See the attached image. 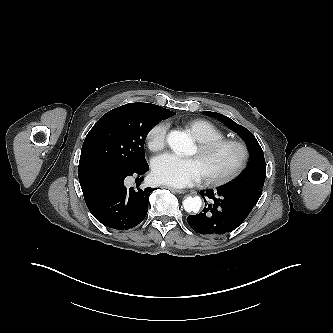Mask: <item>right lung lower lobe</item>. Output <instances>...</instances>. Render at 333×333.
I'll use <instances>...</instances> for the list:
<instances>
[{"mask_svg": "<svg viewBox=\"0 0 333 333\" xmlns=\"http://www.w3.org/2000/svg\"><path fill=\"white\" fill-rule=\"evenodd\" d=\"M148 170L147 163L137 170L109 164L79 167V182L89 211L109 228L128 230L137 226L147 214L149 194L153 189H127L124 179L141 176Z\"/></svg>", "mask_w": 333, "mask_h": 333, "instance_id": "1", "label": "right lung lower lobe"}]
</instances>
